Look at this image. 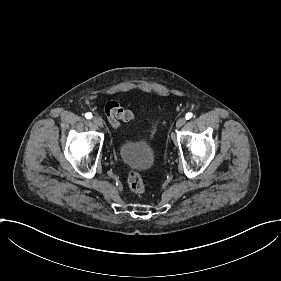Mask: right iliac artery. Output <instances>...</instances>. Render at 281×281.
Masks as SVG:
<instances>
[{
  "mask_svg": "<svg viewBox=\"0 0 281 281\" xmlns=\"http://www.w3.org/2000/svg\"><path fill=\"white\" fill-rule=\"evenodd\" d=\"M85 117H86L87 119H91V118H92V113H90V112L86 113V114H85Z\"/></svg>",
  "mask_w": 281,
  "mask_h": 281,
  "instance_id": "82829eb1",
  "label": "right iliac artery"
}]
</instances>
